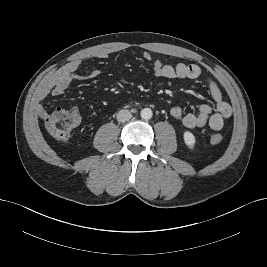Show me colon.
<instances>
[{
  "instance_id": "obj_1",
  "label": "colon",
  "mask_w": 267,
  "mask_h": 267,
  "mask_svg": "<svg viewBox=\"0 0 267 267\" xmlns=\"http://www.w3.org/2000/svg\"><path fill=\"white\" fill-rule=\"evenodd\" d=\"M44 121L49 134L56 140L65 142L77 127L80 117L76 111L58 108L50 113ZM210 140L212 143L218 144L222 141V135L218 133L212 134Z\"/></svg>"
}]
</instances>
